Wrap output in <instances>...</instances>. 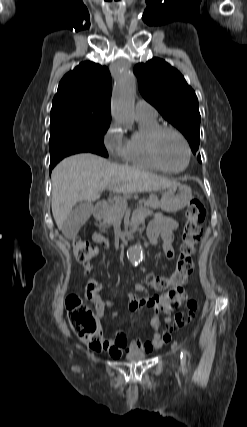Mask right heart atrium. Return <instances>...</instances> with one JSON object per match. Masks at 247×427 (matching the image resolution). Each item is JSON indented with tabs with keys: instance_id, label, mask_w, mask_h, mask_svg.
Masks as SVG:
<instances>
[{
	"instance_id": "d8ad5b80",
	"label": "right heart atrium",
	"mask_w": 247,
	"mask_h": 427,
	"mask_svg": "<svg viewBox=\"0 0 247 427\" xmlns=\"http://www.w3.org/2000/svg\"><path fill=\"white\" fill-rule=\"evenodd\" d=\"M105 149L114 157L123 158L125 138L118 123L112 121L103 134Z\"/></svg>"
}]
</instances>
